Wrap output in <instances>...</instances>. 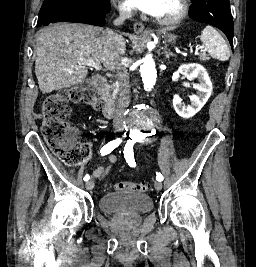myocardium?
Returning a JSON list of instances; mask_svg holds the SVG:
<instances>
[{
    "label": "myocardium",
    "mask_w": 256,
    "mask_h": 267,
    "mask_svg": "<svg viewBox=\"0 0 256 267\" xmlns=\"http://www.w3.org/2000/svg\"><path fill=\"white\" fill-rule=\"evenodd\" d=\"M170 5H172L173 8L175 9V15L173 19L170 22H161L162 24L167 25V26L177 24L182 18L185 17L187 13L186 6L177 0H171Z\"/></svg>",
    "instance_id": "obj_1"
}]
</instances>
